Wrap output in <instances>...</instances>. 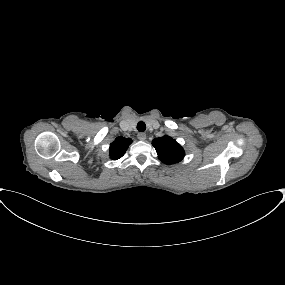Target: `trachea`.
<instances>
[{"label": "trachea", "instance_id": "1", "mask_svg": "<svg viewBox=\"0 0 285 285\" xmlns=\"http://www.w3.org/2000/svg\"><path fill=\"white\" fill-rule=\"evenodd\" d=\"M137 129H138L139 132L145 131L146 130V124L143 121H140L137 124Z\"/></svg>", "mask_w": 285, "mask_h": 285}]
</instances>
